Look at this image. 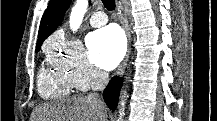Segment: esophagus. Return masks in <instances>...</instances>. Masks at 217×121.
Returning a JSON list of instances; mask_svg holds the SVG:
<instances>
[{
  "instance_id": "34e87169",
  "label": "esophagus",
  "mask_w": 217,
  "mask_h": 121,
  "mask_svg": "<svg viewBox=\"0 0 217 121\" xmlns=\"http://www.w3.org/2000/svg\"><path fill=\"white\" fill-rule=\"evenodd\" d=\"M116 5H117V11L123 26V29L125 31L126 37H127V52L126 55L122 61V63L119 65L117 71H116V75L120 76L125 72V69L127 67V63L130 57V53H131V32H130V28L129 25L124 17L123 14V8H122V2L121 0H116Z\"/></svg>"
}]
</instances>
